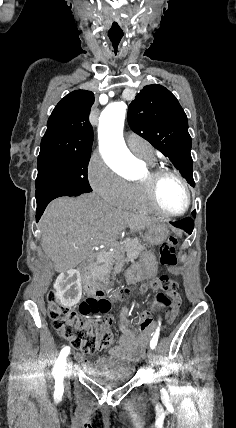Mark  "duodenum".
Masks as SVG:
<instances>
[{
	"label": "duodenum",
	"mask_w": 236,
	"mask_h": 428,
	"mask_svg": "<svg viewBox=\"0 0 236 428\" xmlns=\"http://www.w3.org/2000/svg\"><path fill=\"white\" fill-rule=\"evenodd\" d=\"M79 271L85 290L99 298H104L106 296V292L93 279L90 273L89 263H82L79 267Z\"/></svg>",
	"instance_id": "duodenum-1"
}]
</instances>
